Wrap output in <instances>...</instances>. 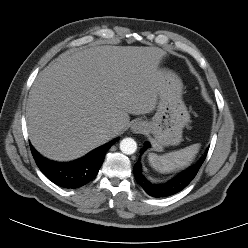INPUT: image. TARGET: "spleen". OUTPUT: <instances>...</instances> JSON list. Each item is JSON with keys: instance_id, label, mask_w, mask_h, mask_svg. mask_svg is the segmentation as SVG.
I'll use <instances>...</instances> for the list:
<instances>
[{"instance_id": "3e777b00", "label": "spleen", "mask_w": 248, "mask_h": 248, "mask_svg": "<svg viewBox=\"0 0 248 248\" xmlns=\"http://www.w3.org/2000/svg\"><path fill=\"white\" fill-rule=\"evenodd\" d=\"M199 148L200 144H193L164 155L149 153L148 159L155 170L161 173H169L188 166L195 158Z\"/></svg>"}]
</instances>
